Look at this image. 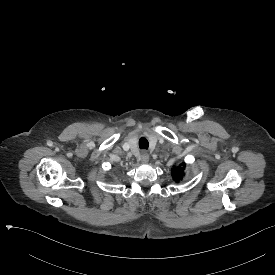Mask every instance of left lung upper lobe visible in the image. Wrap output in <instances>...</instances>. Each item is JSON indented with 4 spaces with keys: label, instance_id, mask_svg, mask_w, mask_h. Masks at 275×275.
I'll use <instances>...</instances> for the list:
<instances>
[{
    "label": "left lung upper lobe",
    "instance_id": "obj_1",
    "mask_svg": "<svg viewBox=\"0 0 275 275\" xmlns=\"http://www.w3.org/2000/svg\"><path fill=\"white\" fill-rule=\"evenodd\" d=\"M184 168H185V165L184 164H180L179 166L174 167L172 169V171H171L172 177L177 182L182 179V175H184Z\"/></svg>",
    "mask_w": 275,
    "mask_h": 275
}]
</instances>
